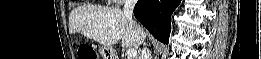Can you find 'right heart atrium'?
Returning <instances> with one entry per match:
<instances>
[{
  "mask_svg": "<svg viewBox=\"0 0 261 59\" xmlns=\"http://www.w3.org/2000/svg\"><path fill=\"white\" fill-rule=\"evenodd\" d=\"M113 3L121 4L124 0H111Z\"/></svg>",
  "mask_w": 261,
  "mask_h": 59,
  "instance_id": "right-heart-atrium-1",
  "label": "right heart atrium"
}]
</instances>
